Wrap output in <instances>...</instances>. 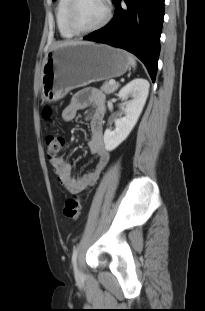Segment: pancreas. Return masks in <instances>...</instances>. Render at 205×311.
Wrapping results in <instances>:
<instances>
[{
	"label": "pancreas",
	"mask_w": 205,
	"mask_h": 311,
	"mask_svg": "<svg viewBox=\"0 0 205 311\" xmlns=\"http://www.w3.org/2000/svg\"><path fill=\"white\" fill-rule=\"evenodd\" d=\"M119 87L118 83L115 84H110V81H106L102 86H101V90L103 92H105L106 94H111L113 92H115Z\"/></svg>",
	"instance_id": "cf45deb5"
}]
</instances>
